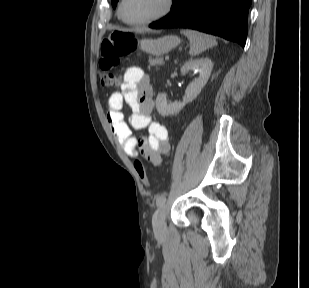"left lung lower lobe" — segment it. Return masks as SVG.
<instances>
[{"label":"left lung lower lobe","mask_w":309,"mask_h":288,"mask_svg":"<svg viewBox=\"0 0 309 288\" xmlns=\"http://www.w3.org/2000/svg\"><path fill=\"white\" fill-rule=\"evenodd\" d=\"M251 2L252 0H176L172 11L149 27L191 28L237 42L244 47Z\"/></svg>","instance_id":"obj_1"}]
</instances>
